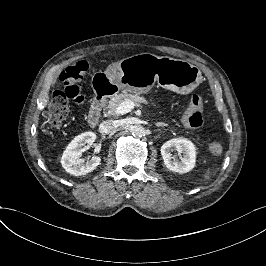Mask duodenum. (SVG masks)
I'll list each match as a JSON object with an SVG mask.
<instances>
[{
    "mask_svg": "<svg viewBox=\"0 0 266 266\" xmlns=\"http://www.w3.org/2000/svg\"><path fill=\"white\" fill-rule=\"evenodd\" d=\"M93 103L88 114V122L91 126L98 124L101 118L102 106L107 104L113 96L110 80L105 75H98L93 80Z\"/></svg>",
    "mask_w": 266,
    "mask_h": 266,
    "instance_id": "obj_1",
    "label": "duodenum"
}]
</instances>
